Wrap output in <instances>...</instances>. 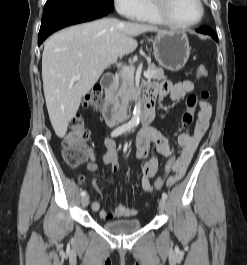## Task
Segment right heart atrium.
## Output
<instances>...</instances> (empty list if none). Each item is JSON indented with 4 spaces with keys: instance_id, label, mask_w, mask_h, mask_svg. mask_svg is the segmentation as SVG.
<instances>
[{
    "instance_id": "d8ad5b80",
    "label": "right heart atrium",
    "mask_w": 247,
    "mask_h": 265,
    "mask_svg": "<svg viewBox=\"0 0 247 265\" xmlns=\"http://www.w3.org/2000/svg\"><path fill=\"white\" fill-rule=\"evenodd\" d=\"M119 13L128 19L136 20L143 10V0H113Z\"/></svg>"
}]
</instances>
